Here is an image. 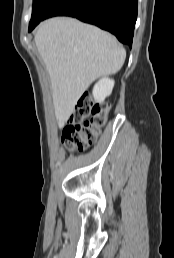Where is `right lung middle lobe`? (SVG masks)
<instances>
[{
	"label": "right lung middle lobe",
	"mask_w": 174,
	"mask_h": 258,
	"mask_svg": "<svg viewBox=\"0 0 174 258\" xmlns=\"http://www.w3.org/2000/svg\"><path fill=\"white\" fill-rule=\"evenodd\" d=\"M58 1L59 0H33L32 16L29 23V32L32 31L40 21L45 19L47 12Z\"/></svg>",
	"instance_id": "obj_1"
}]
</instances>
